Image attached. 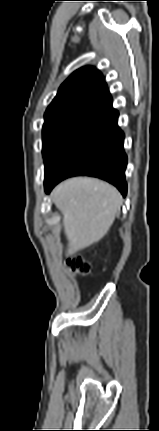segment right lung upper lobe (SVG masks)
Wrapping results in <instances>:
<instances>
[{"mask_svg":"<svg viewBox=\"0 0 159 431\" xmlns=\"http://www.w3.org/2000/svg\"><path fill=\"white\" fill-rule=\"evenodd\" d=\"M113 110L103 75L91 66L72 73L48 106L45 118L69 117L86 122Z\"/></svg>","mask_w":159,"mask_h":431,"instance_id":"1","label":"right lung upper lobe"}]
</instances>
